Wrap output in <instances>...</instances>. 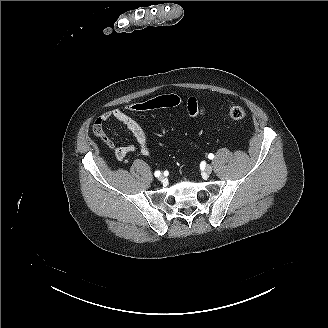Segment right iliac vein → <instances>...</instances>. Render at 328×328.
<instances>
[{
	"label": "right iliac vein",
	"instance_id": "63e3f726",
	"mask_svg": "<svg viewBox=\"0 0 328 328\" xmlns=\"http://www.w3.org/2000/svg\"><path fill=\"white\" fill-rule=\"evenodd\" d=\"M158 179H159L160 181H162V180L164 179V176H163V175H159V176H158Z\"/></svg>",
	"mask_w": 328,
	"mask_h": 328
}]
</instances>
